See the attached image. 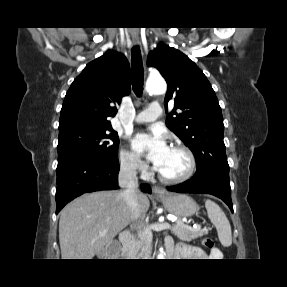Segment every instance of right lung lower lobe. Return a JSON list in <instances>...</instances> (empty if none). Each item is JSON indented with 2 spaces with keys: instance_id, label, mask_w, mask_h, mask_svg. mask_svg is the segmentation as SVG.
<instances>
[{
  "instance_id": "1",
  "label": "right lung lower lobe",
  "mask_w": 287,
  "mask_h": 287,
  "mask_svg": "<svg viewBox=\"0 0 287 287\" xmlns=\"http://www.w3.org/2000/svg\"><path fill=\"white\" fill-rule=\"evenodd\" d=\"M119 164L111 165L91 159H72L57 166L56 214L71 200L86 192L118 187ZM142 191L151 193L148 184Z\"/></svg>"
}]
</instances>
